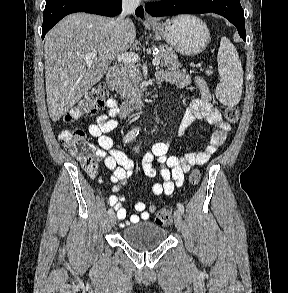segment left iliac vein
I'll return each instance as SVG.
<instances>
[{"instance_id": "1", "label": "left iliac vein", "mask_w": 288, "mask_h": 293, "mask_svg": "<svg viewBox=\"0 0 288 293\" xmlns=\"http://www.w3.org/2000/svg\"><path fill=\"white\" fill-rule=\"evenodd\" d=\"M174 223L176 228L180 231L182 229V213L179 210L174 212Z\"/></svg>"}]
</instances>
